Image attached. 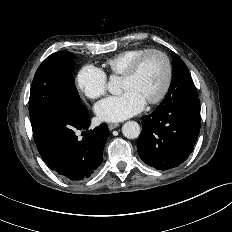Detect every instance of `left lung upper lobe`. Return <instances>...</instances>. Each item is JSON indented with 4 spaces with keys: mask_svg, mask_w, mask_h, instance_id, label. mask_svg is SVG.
I'll use <instances>...</instances> for the list:
<instances>
[{
    "mask_svg": "<svg viewBox=\"0 0 232 232\" xmlns=\"http://www.w3.org/2000/svg\"><path fill=\"white\" fill-rule=\"evenodd\" d=\"M171 55L173 56V79L163 102L167 100H174L175 98H179L181 96L198 97L197 90L189 74L187 66L176 53L171 51Z\"/></svg>",
    "mask_w": 232,
    "mask_h": 232,
    "instance_id": "left-lung-upper-lobe-1",
    "label": "left lung upper lobe"
}]
</instances>
